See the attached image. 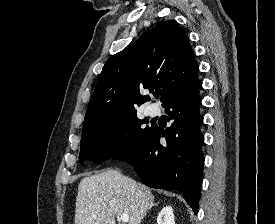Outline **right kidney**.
<instances>
[{"mask_svg":"<svg viewBox=\"0 0 275 224\" xmlns=\"http://www.w3.org/2000/svg\"><path fill=\"white\" fill-rule=\"evenodd\" d=\"M157 224H175L171 206H166L160 211L157 216Z\"/></svg>","mask_w":275,"mask_h":224,"instance_id":"obj_1","label":"right kidney"}]
</instances>
